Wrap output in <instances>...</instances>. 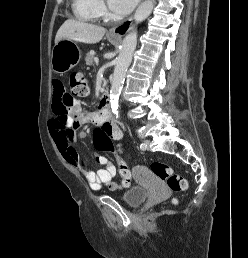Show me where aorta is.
Here are the masks:
<instances>
[{"instance_id": "aorta-1", "label": "aorta", "mask_w": 248, "mask_h": 258, "mask_svg": "<svg viewBox=\"0 0 248 258\" xmlns=\"http://www.w3.org/2000/svg\"><path fill=\"white\" fill-rule=\"evenodd\" d=\"M155 0H145L136 10L134 21L137 24L144 21L152 12ZM137 45V29L133 27L125 36L112 77L110 89V104L112 112L118 116V100L124 83L127 68L129 67L133 52Z\"/></svg>"}]
</instances>
